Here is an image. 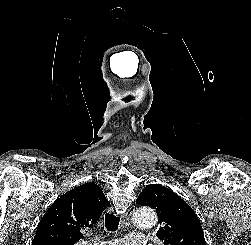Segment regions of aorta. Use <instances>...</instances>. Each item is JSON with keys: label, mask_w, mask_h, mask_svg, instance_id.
Instances as JSON below:
<instances>
[{"label": "aorta", "mask_w": 251, "mask_h": 245, "mask_svg": "<svg viewBox=\"0 0 251 245\" xmlns=\"http://www.w3.org/2000/svg\"><path fill=\"white\" fill-rule=\"evenodd\" d=\"M157 223V216L153 209L140 207L134 213V224L140 229H148Z\"/></svg>", "instance_id": "762f6f07"}]
</instances>
